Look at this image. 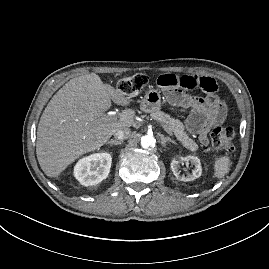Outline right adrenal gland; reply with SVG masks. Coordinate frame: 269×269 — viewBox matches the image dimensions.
Returning a JSON list of instances; mask_svg holds the SVG:
<instances>
[{"label":"right adrenal gland","instance_id":"obj_1","mask_svg":"<svg viewBox=\"0 0 269 269\" xmlns=\"http://www.w3.org/2000/svg\"><path fill=\"white\" fill-rule=\"evenodd\" d=\"M122 143H123V141H117V140H113V139L106 142V144H110V145H121Z\"/></svg>","mask_w":269,"mask_h":269}]
</instances>
